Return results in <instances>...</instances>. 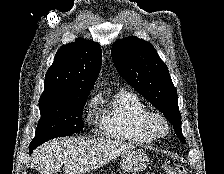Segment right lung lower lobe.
Returning a JSON list of instances; mask_svg holds the SVG:
<instances>
[{
	"label": "right lung lower lobe",
	"mask_w": 224,
	"mask_h": 174,
	"mask_svg": "<svg viewBox=\"0 0 224 174\" xmlns=\"http://www.w3.org/2000/svg\"><path fill=\"white\" fill-rule=\"evenodd\" d=\"M35 148H36V147H31V148L29 149L30 154L32 153V151H33Z\"/></svg>",
	"instance_id": "98d812e1"
}]
</instances>
